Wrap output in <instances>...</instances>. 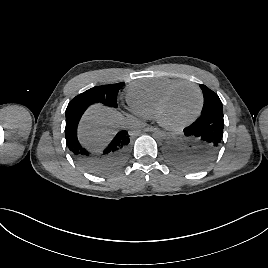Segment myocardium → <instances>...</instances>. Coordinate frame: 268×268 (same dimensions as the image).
I'll use <instances>...</instances> for the list:
<instances>
[{
	"instance_id": "obj_1",
	"label": "myocardium",
	"mask_w": 268,
	"mask_h": 268,
	"mask_svg": "<svg viewBox=\"0 0 268 268\" xmlns=\"http://www.w3.org/2000/svg\"><path fill=\"white\" fill-rule=\"evenodd\" d=\"M186 86H190L193 87L197 93H198V97H199V103H198V107L195 111V113L188 119L180 122V123H176V124H171L168 123L166 121H164L162 119V110L164 108V106L166 105V103L168 102V100L170 99V97L176 92L178 91L180 88L186 87ZM203 104H204V96H203V92L200 89V87L194 83L191 82H181L173 87H171L159 100L156 110H155V119L158 122V124H160L162 127L171 130V131H178L181 130L183 128H185L186 126L190 125L192 122H194L197 117L200 115L202 108H203Z\"/></svg>"
}]
</instances>
